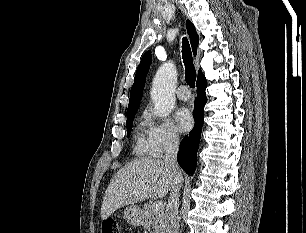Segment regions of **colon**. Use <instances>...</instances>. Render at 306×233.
I'll return each instance as SVG.
<instances>
[{
	"instance_id": "1",
	"label": "colon",
	"mask_w": 306,
	"mask_h": 233,
	"mask_svg": "<svg viewBox=\"0 0 306 233\" xmlns=\"http://www.w3.org/2000/svg\"><path fill=\"white\" fill-rule=\"evenodd\" d=\"M101 233H119L117 223L114 221L105 222L101 227Z\"/></svg>"
}]
</instances>
